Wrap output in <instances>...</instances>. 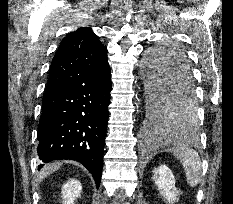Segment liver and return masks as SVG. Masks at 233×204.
Returning a JSON list of instances; mask_svg holds the SVG:
<instances>
[{"label": "liver", "instance_id": "6515ba94", "mask_svg": "<svg viewBox=\"0 0 233 204\" xmlns=\"http://www.w3.org/2000/svg\"><path fill=\"white\" fill-rule=\"evenodd\" d=\"M61 166H62L61 162H54V163L46 165L43 168V171L39 175V180L41 181L42 179L47 177L50 173L58 170Z\"/></svg>", "mask_w": 233, "mask_h": 204}]
</instances>
